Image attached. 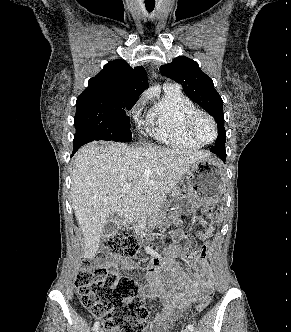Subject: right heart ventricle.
<instances>
[{"label":"right heart ventricle","mask_w":291,"mask_h":332,"mask_svg":"<svg viewBox=\"0 0 291 332\" xmlns=\"http://www.w3.org/2000/svg\"><path fill=\"white\" fill-rule=\"evenodd\" d=\"M194 103L179 89L165 88L149 110L150 133L160 142L182 149H199L201 144L186 132L185 120L194 111Z\"/></svg>","instance_id":"obj_1"}]
</instances>
